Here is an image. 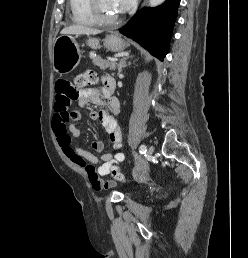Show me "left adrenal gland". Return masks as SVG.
<instances>
[{"label":"left adrenal gland","instance_id":"a2214340","mask_svg":"<svg viewBox=\"0 0 248 258\" xmlns=\"http://www.w3.org/2000/svg\"><path fill=\"white\" fill-rule=\"evenodd\" d=\"M129 58H131V57H130V56L123 57V58L119 61L118 65H117V67H118V74L121 73L122 68H124V67H126L127 65H130V64H131V62H128V63H127V60H128Z\"/></svg>","mask_w":248,"mask_h":258}]
</instances>
